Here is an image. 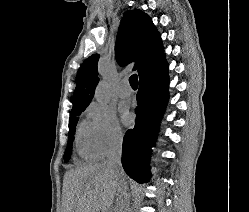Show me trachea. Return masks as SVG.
<instances>
[{"label":"trachea","mask_w":249,"mask_h":212,"mask_svg":"<svg viewBox=\"0 0 249 212\" xmlns=\"http://www.w3.org/2000/svg\"><path fill=\"white\" fill-rule=\"evenodd\" d=\"M129 82L132 88L136 89L138 86V77L136 75V73H134L133 75H131V77L129 78Z\"/></svg>","instance_id":"trachea-1"}]
</instances>
